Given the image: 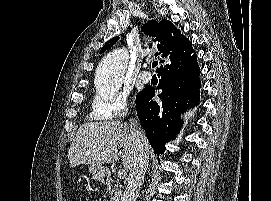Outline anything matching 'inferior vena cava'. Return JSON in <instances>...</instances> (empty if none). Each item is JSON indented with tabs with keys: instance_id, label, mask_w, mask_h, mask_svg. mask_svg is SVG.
Wrapping results in <instances>:
<instances>
[{
	"instance_id": "602c4592",
	"label": "inferior vena cava",
	"mask_w": 271,
	"mask_h": 201,
	"mask_svg": "<svg viewBox=\"0 0 271 201\" xmlns=\"http://www.w3.org/2000/svg\"><path fill=\"white\" fill-rule=\"evenodd\" d=\"M129 127L133 143L136 149V156L133 160L132 169L129 173L128 183L122 195L121 201H136L139 190L144 179L148 166V139L141 124L131 118Z\"/></svg>"
}]
</instances>
